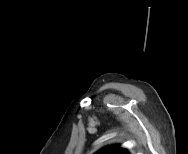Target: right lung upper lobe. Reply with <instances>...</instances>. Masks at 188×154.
I'll return each mask as SVG.
<instances>
[{
    "mask_svg": "<svg viewBox=\"0 0 188 154\" xmlns=\"http://www.w3.org/2000/svg\"><path fill=\"white\" fill-rule=\"evenodd\" d=\"M96 154H127L125 149L120 148L119 146H108L100 151H98Z\"/></svg>",
    "mask_w": 188,
    "mask_h": 154,
    "instance_id": "obj_1",
    "label": "right lung upper lobe"
}]
</instances>
